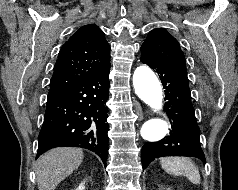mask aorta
I'll return each instance as SVG.
<instances>
[{
    "label": "aorta",
    "mask_w": 238,
    "mask_h": 190,
    "mask_svg": "<svg viewBox=\"0 0 238 190\" xmlns=\"http://www.w3.org/2000/svg\"><path fill=\"white\" fill-rule=\"evenodd\" d=\"M133 85L136 95L155 112L163 108V92L154 72L147 66H139L133 74ZM168 132L165 120L152 117L147 119L140 130L141 137L148 142L163 139Z\"/></svg>",
    "instance_id": "aorta-1"
}]
</instances>
